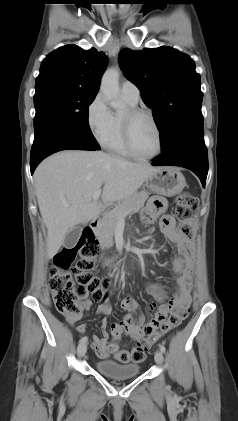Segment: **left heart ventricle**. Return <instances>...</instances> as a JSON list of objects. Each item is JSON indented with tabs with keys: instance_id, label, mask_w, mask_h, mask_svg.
Returning a JSON list of instances; mask_svg holds the SVG:
<instances>
[{
	"instance_id": "1",
	"label": "left heart ventricle",
	"mask_w": 238,
	"mask_h": 421,
	"mask_svg": "<svg viewBox=\"0 0 238 421\" xmlns=\"http://www.w3.org/2000/svg\"><path fill=\"white\" fill-rule=\"evenodd\" d=\"M131 137L134 149L144 157L153 155L158 149L157 132L146 116H138L133 120Z\"/></svg>"
}]
</instances>
